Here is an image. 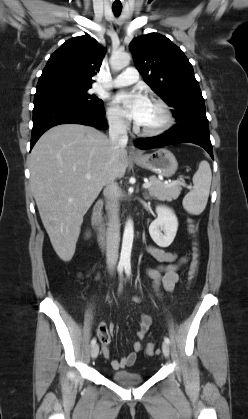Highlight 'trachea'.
I'll return each instance as SVG.
<instances>
[{
    "mask_svg": "<svg viewBox=\"0 0 248 419\" xmlns=\"http://www.w3.org/2000/svg\"><path fill=\"white\" fill-rule=\"evenodd\" d=\"M113 13L118 16L122 11V6H112Z\"/></svg>",
    "mask_w": 248,
    "mask_h": 419,
    "instance_id": "trachea-1",
    "label": "trachea"
}]
</instances>
